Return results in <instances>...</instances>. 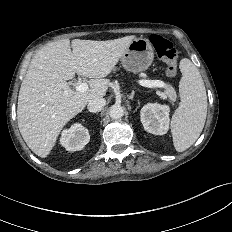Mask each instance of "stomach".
I'll use <instances>...</instances> for the list:
<instances>
[{"label":"stomach","instance_id":"0dacf381","mask_svg":"<svg viewBox=\"0 0 232 232\" xmlns=\"http://www.w3.org/2000/svg\"><path fill=\"white\" fill-rule=\"evenodd\" d=\"M154 52L149 40L144 38L134 39L121 57L122 66L130 72L146 70L152 63Z\"/></svg>","mask_w":232,"mask_h":232}]
</instances>
